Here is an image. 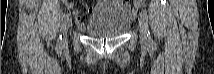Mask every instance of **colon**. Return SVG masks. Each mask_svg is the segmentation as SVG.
Listing matches in <instances>:
<instances>
[{
    "instance_id": "obj_1",
    "label": "colon",
    "mask_w": 214,
    "mask_h": 74,
    "mask_svg": "<svg viewBox=\"0 0 214 74\" xmlns=\"http://www.w3.org/2000/svg\"><path fill=\"white\" fill-rule=\"evenodd\" d=\"M135 3L141 5L142 3H144V0H136Z\"/></svg>"
}]
</instances>
